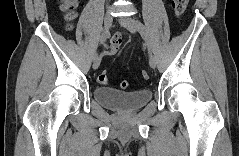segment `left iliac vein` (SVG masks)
Returning <instances> with one entry per match:
<instances>
[{
    "mask_svg": "<svg viewBox=\"0 0 239 156\" xmlns=\"http://www.w3.org/2000/svg\"><path fill=\"white\" fill-rule=\"evenodd\" d=\"M118 21L123 27H125L131 33L135 34L137 32L136 21L133 18L124 17V18H120ZM149 65L153 69L156 67V60L153 55H150L149 57Z\"/></svg>",
    "mask_w": 239,
    "mask_h": 156,
    "instance_id": "4c4485c4",
    "label": "left iliac vein"
}]
</instances>
